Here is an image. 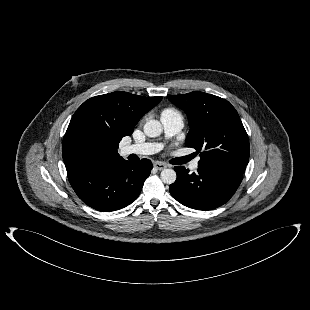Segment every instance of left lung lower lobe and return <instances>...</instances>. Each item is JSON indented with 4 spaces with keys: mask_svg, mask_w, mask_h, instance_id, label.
<instances>
[{
    "mask_svg": "<svg viewBox=\"0 0 310 310\" xmlns=\"http://www.w3.org/2000/svg\"><path fill=\"white\" fill-rule=\"evenodd\" d=\"M174 170L177 180L169 186L171 195L181 204L198 210H210L226 203L239 187L243 174L216 167H200L189 174L183 166Z\"/></svg>",
    "mask_w": 310,
    "mask_h": 310,
    "instance_id": "1",
    "label": "left lung lower lobe"
}]
</instances>
